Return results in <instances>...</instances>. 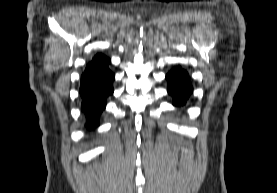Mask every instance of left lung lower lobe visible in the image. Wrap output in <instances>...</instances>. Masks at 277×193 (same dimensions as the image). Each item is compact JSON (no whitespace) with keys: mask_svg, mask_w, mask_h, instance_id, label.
Wrapping results in <instances>:
<instances>
[{"mask_svg":"<svg viewBox=\"0 0 277 193\" xmlns=\"http://www.w3.org/2000/svg\"><path fill=\"white\" fill-rule=\"evenodd\" d=\"M168 80V93L173 97V104L180 106L184 104L192 93V85L186 71L176 68L166 75Z\"/></svg>","mask_w":277,"mask_h":193,"instance_id":"obj_1","label":"left lung lower lobe"}]
</instances>
